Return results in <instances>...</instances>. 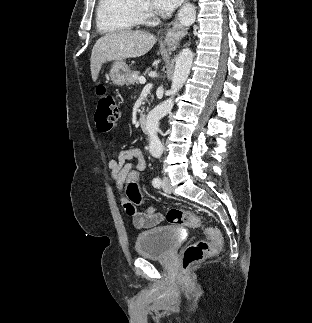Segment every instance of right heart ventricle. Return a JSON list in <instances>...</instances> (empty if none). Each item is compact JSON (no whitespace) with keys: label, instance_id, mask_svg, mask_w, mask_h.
Segmentation results:
<instances>
[{"label":"right heart ventricle","instance_id":"1","mask_svg":"<svg viewBox=\"0 0 312 323\" xmlns=\"http://www.w3.org/2000/svg\"><path fill=\"white\" fill-rule=\"evenodd\" d=\"M144 13H138L124 0H98L94 6V25L103 33H114L115 29H131V25H140Z\"/></svg>","mask_w":312,"mask_h":323}]
</instances>
